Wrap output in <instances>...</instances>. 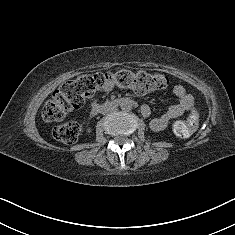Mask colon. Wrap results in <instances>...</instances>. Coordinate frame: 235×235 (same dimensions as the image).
<instances>
[{
    "label": "colon",
    "mask_w": 235,
    "mask_h": 235,
    "mask_svg": "<svg viewBox=\"0 0 235 235\" xmlns=\"http://www.w3.org/2000/svg\"><path fill=\"white\" fill-rule=\"evenodd\" d=\"M168 85V79L160 73H147L144 71L133 73L128 70L115 72H95L83 74L73 80L65 82L53 92L45 103L42 116L47 121L62 120L65 115L83 106L87 99L95 93L106 88H129L139 94L164 89ZM197 113L192 110L187 123L179 122L175 125V133L179 136H188L196 127ZM80 128L75 122H65L54 127L53 133L56 139L67 143H74L79 136Z\"/></svg>",
    "instance_id": "1"
}]
</instances>
